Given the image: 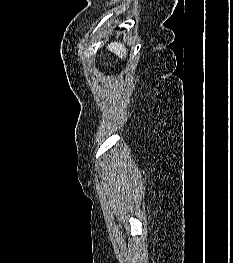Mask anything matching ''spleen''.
Wrapping results in <instances>:
<instances>
[{
  "instance_id": "3e777b00",
  "label": "spleen",
  "mask_w": 233,
  "mask_h": 263,
  "mask_svg": "<svg viewBox=\"0 0 233 263\" xmlns=\"http://www.w3.org/2000/svg\"><path fill=\"white\" fill-rule=\"evenodd\" d=\"M107 49L118 56L120 59L125 58L127 55L126 47L121 42H111L108 44Z\"/></svg>"
}]
</instances>
